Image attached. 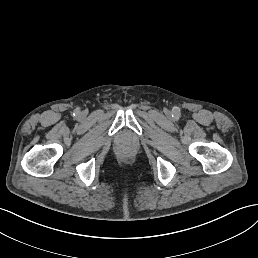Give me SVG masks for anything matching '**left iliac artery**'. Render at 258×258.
Masks as SVG:
<instances>
[{
	"mask_svg": "<svg viewBox=\"0 0 258 258\" xmlns=\"http://www.w3.org/2000/svg\"><path fill=\"white\" fill-rule=\"evenodd\" d=\"M172 117H173L175 120H179V119H180V117H181L180 108L175 107V108L173 109Z\"/></svg>",
	"mask_w": 258,
	"mask_h": 258,
	"instance_id": "obj_1",
	"label": "left iliac artery"
}]
</instances>
